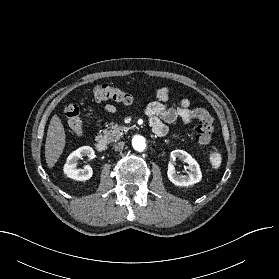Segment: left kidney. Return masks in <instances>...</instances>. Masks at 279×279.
Returning <instances> with one entry per match:
<instances>
[{"mask_svg":"<svg viewBox=\"0 0 279 279\" xmlns=\"http://www.w3.org/2000/svg\"><path fill=\"white\" fill-rule=\"evenodd\" d=\"M171 162L168 165L167 175L169 180L176 186H190L200 182L202 178V173L200 170V166L197 161L186 151L183 150H173L171 152ZM176 158L181 161L186 162L189 165L190 172L188 175H178L176 174L175 167L172 162L176 160Z\"/></svg>","mask_w":279,"mask_h":279,"instance_id":"5707ae66","label":"left kidney"}]
</instances>
